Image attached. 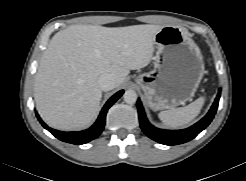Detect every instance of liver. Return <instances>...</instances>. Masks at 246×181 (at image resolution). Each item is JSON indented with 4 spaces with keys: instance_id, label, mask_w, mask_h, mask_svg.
I'll return each instance as SVG.
<instances>
[{
    "instance_id": "1",
    "label": "liver",
    "mask_w": 246,
    "mask_h": 181,
    "mask_svg": "<svg viewBox=\"0 0 246 181\" xmlns=\"http://www.w3.org/2000/svg\"><path fill=\"white\" fill-rule=\"evenodd\" d=\"M162 28L71 25L57 32L35 75L34 97L42 119L64 131L88 126L102 98L99 77L111 74L118 87L130 70L147 66L153 59L155 35Z\"/></svg>"
}]
</instances>
